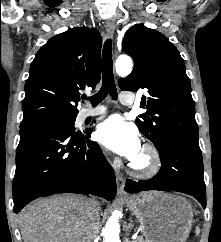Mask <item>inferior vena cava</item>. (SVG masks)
<instances>
[{"instance_id":"1","label":"inferior vena cava","mask_w":221,"mask_h":242,"mask_svg":"<svg viewBox=\"0 0 221 242\" xmlns=\"http://www.w3.org/2000/svg\"><path fill=\"white\" fill-rule=\"evenodd\" d=\"M99 205L95 199H87L82 211V242H94L99 233Z\"/></svg>"}]
</instances>
